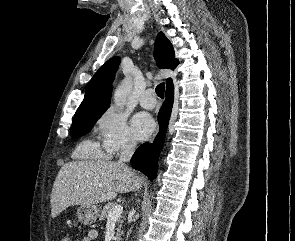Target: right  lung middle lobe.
<instances>
[{
	"label": "right lung middle lobe",
	"mask_w": 295,
	"mask_h": 241,
	"mask_svg": "<svg viewBox=\"0 0 295 241\" xmlns=\"http://www.w3.org/2000/svg\"><path fill=\"white\" fill-rule=\"evenodd\" d=\"M108 107L109 105H106L93 110L77 111L71 127V137L79 138L87 134Z\"/></svg>",
	"instance_id": "1"
}]
</instances>
